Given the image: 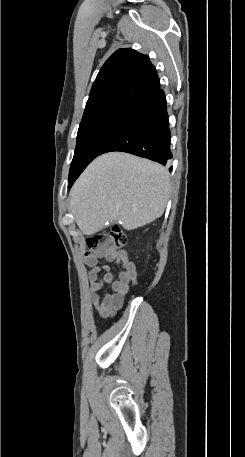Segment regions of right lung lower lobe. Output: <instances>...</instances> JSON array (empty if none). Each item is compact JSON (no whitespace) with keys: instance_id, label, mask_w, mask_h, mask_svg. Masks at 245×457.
Returning <instances> with one entry per match:
<instances>
[{"instance_id":"right-lung-lower-lobe-1","label":"right lung lower lobe","mask_w":245,"mask_h":457,"mask_svg":"<svg viewBox=\"0 0 245 457\" xmlns=\"http://www.w3.org/2000/svg\"><path fill=\"white\" fill-rule=\"evenodd\" d=\"M170 137L166 98L158 88L129 109L99 155L121 151L166 165L172 158Z\"/></svg>"}]
</instances>
